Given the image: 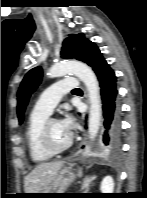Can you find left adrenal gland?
Here are the masks:
<instances>
[{
  "label": "left adrenal gland",
  "mask_w": 147,
  "mask_h": 198,
  "mask_svg": "<svg viewBox=\"0 0 147 198\" xmlns=\"http://www.w3.org/2000/svg\"><path fill=\"white\" fill-rule=\"evenodd\" d=\"M96 179V176H86L82 181V190L84 193H88L90 184Z\"/></svg>",
  "instance_id": "1"
}]
</instances>
